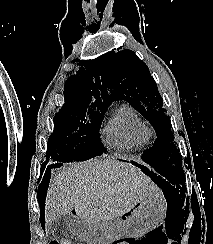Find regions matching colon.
<instances>
[{
    "label": "colon",
    "mask_w": 213,
    "mask_h": 244,
    "mask_svg": "<svg viewBox=\"0 0 213 244\" xmlns=\"http://www.w3.org/2000/svg\"><path fill=\"white\" fill-rule=\"evenodd\" d=\"M49 244H82V243H73L70 239H63L59 241H51Z\"/></svg>",
    "instance_id": "5ec220e1"
}]
</instances>
